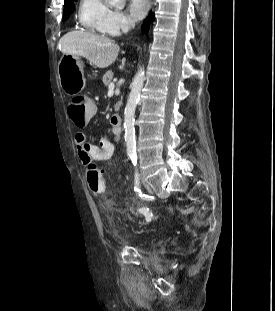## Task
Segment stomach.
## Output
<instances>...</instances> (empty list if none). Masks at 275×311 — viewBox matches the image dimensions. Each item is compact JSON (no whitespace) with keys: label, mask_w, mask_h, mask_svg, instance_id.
<instances>
[{"label":"stomach","mask_w":275,"mask_h":311,"mask_svg":"<svg viewBox=\"0 0 275 311\" xmlns=\"http://www.w3.org/2000/svg\"><path fill=\"white\" fill-rule=\"evenodd\" d=\"M84 63L79 56L63 55L58 63V76L62 90L69 96L80 93L86 84Z\"/></svg>","instance_id":"stomach-1"}]
</instances>
